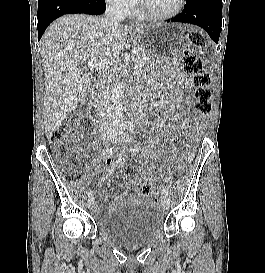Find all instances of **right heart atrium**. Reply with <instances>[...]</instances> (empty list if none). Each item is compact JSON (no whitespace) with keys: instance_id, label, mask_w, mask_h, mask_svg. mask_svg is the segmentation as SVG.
I'll return each mask as SVG.
<instances>
[{"instance_id":"d8ad5b80","label":"right heart atrium","mask_w":265,"mask_h":273,"mask_svg":"<svg viewBox=\"0 0 265 273\" xmlns=\"http://www.w3.org/2000/svg\"><path fill=\"white\" fill-rule=\"evenodd\" d=\"M138 0H105V2L112 8L121 13L131 12L137 5Z\"/></svg>"}]
</instances>
